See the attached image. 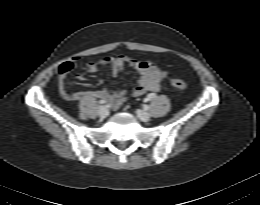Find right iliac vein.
Listing matches in <instances>:
<instances>
[{"instance_id": "1", "label": "right iliac vein", "mask_w": 260, "mask_h": 205, "mask_svg": "<svg viewBox=\"0 0 260 205\" xmlns=\"http://www.w3.org/2000/svg\"><path fill=\"white\" fill-rule=\"evenodd\" d=\"M98 114L100 117L106 118L109 114V111H108L107 107L101 106V107H99Z\"/></svg>"}]
</instances>
